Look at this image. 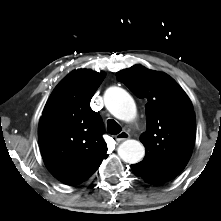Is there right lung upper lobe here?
<instances>
[{
	"mask_svg": "<svg viewBox=\"0 0 221 221\" xmlns=\"http://www.w3.org/2000/svg\"><path fill=\"white\" fill-rule=\"evenodd\" d=\"M104 76L89 69L72 72L56 86L43 110L38 128L42 157L64 184L86 181L108 156L102 119L90 108Z\"/></svg>",
	"mask_w": 221,
	"mask_h": 221,
	"instance_id": "1",
	"label": "right lung upper lobe"
}]
</instances>
